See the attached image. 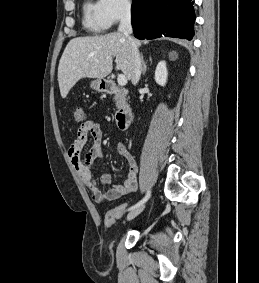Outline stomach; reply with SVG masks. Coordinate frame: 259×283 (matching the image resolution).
<instances>
[{
	"label": "stomach",
	"mask_w": 259,
	"mask_h": 283,
	"mask_svg": "<svg viewBox=\"0 0 259 283\" xmlns=\"http://www.w3.org/2000/svg\"><path fill=\"white\" fill-rule=\"evenodd\" d=\"M90 86L98 92H105L107 89V82L103 79H96L91 81Z\"/></svg>",
	"instance_id": "obj_1"
}]
</instances>
